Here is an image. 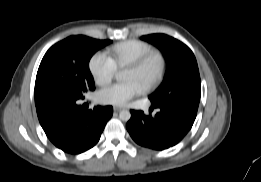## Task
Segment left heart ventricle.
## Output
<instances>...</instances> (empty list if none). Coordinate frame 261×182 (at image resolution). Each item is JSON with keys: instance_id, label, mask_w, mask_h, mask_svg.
Segmentation results:
<instances>
[{"instance_id": "left-heart-ventricle-1", "label": "left heart ventricle", "mask_w": 261, "mask_h": 182, "mask_svg": "<svg viewBox=\"0 0 261 182\" xmlns=\"http://www.w3.org/2000/svg\"><path fill=\"white\" fill-rule=\"evenodd\" d=\"M158 67V60L152 59L140 70L126 69L123 80L125 82L135 81L144 87L156 75Z\"/></svg>"}]
</instances>
